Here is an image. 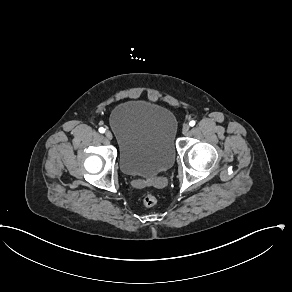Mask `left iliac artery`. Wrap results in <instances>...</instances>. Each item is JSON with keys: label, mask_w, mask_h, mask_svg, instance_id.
<instances>
[{"label": "left iliac artery", "mask_w": 292, "mask_h": 292, "mask_svg": "<svg viewBox=\"0 0 292 292\" xmlns=\"http://www.w3.org/2000/svg\"><path fill=\"white\" fill-rule=\"evenodd\" d=\"M189 125H190L191 127H193V126L195 125V121H194V120H191V121L189 122Z\"/></svg>", "instance_id": "left-iliac-artery-1"}]
</instances>
